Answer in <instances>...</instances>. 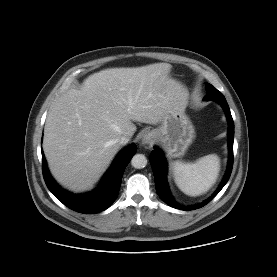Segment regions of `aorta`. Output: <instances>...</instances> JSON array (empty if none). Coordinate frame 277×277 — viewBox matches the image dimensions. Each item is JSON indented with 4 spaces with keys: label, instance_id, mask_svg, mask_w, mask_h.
I'll return each mask as SVG.
<instances>
[{
    "label": "aorta",
    "instance_id": "obj_1",
    "mask_svg": "<svg viewBox=\"0 0 277 277\" xmlns=\"http://www.w3.org/2000/svg\"><path fill=\"white\" fill-rule=\"evenodd\" d=\"M131 165L136 169H142L147 165V159L143 154H136L131 160Z\"/></svg>",
    "mask_w": 277,
    "mask_h": 277
}]
</instances>
